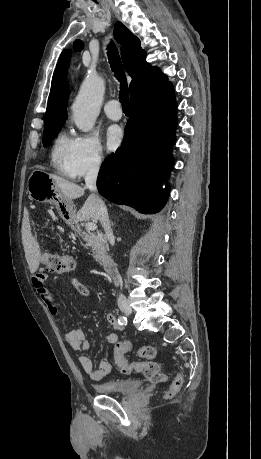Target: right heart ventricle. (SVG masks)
I'll list each match as a JSON object with an SVG mask.
<instances>
[{"mask_svg": "<svg viewBox=\"0 0 261 459\" xmlns=\"http://www.w3.org/2000/svg\"><path fill=\"white\" fill-rule=\"evenodd\" d=\"M74 150V139L60 133L51 149V164L62 175L74 177L71 171V159Z\"/></svg>", "mask_w": 261, "mask_h": 459, "instance_id": "1", "label": "right heart ventricle"}]
</instances>
